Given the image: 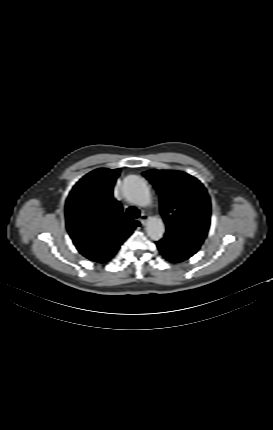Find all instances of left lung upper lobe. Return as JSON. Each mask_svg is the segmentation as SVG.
I'll use <instances>...</instances> for the list:
<instances>
[{
    "instance_id": "obj_1",
    "label": "left lung upper lobe",
    "mask_w": 273,
    "mask_h": 430,
    "mask_svg": "<svg viewBox=\"0 0 273 430\" xmlns=\"http://www.w3.org/2000/svg\"><path fill=\"white\" fill-rule=\"evenodd\" d=\"M143 175L153 184L166 224L164 237L157 241L162 254L194 255L207 236L211 203L203 184L184 172L149 170Z\"/></svg>"
}]
</instances>
